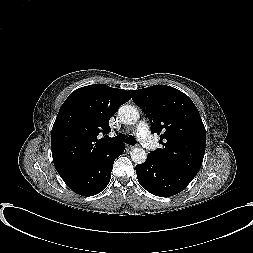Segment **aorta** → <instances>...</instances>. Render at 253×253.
Here are the masks:
<instances>
[{
  "instance_id": "aorta-1",
  "label": "aorta",
  "mask_w": 253,
  "mask_h": 253,
  "mask_svg": "<svg viewBox=\"0 0 253 253\" xmlns=\"http://www.w3.org/2000/svg\"><path fill=\"white\" fill-rule=\"evenodd\" d=\"M118 116L122 123L131 125L139 119V112L134 106L123 105L118 110ZM131 159L136 164H142L147 159V153L143 148H134L131 151Z\"/></svg>"
}]
</instances>
